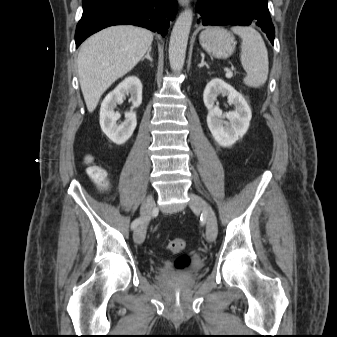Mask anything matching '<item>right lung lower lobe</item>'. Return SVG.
<instances>
[{
  "label": "right lung lower lobe",
  "instance_id": "right-lung-lower-lobe-1",
  "mask_svg": "<svg viewBox=\"0 0 337 337\" xmlns=\"http://www.w3.org/2000/svg\"><path fill=\"white\" fill-rule=\"evenodd\" d=\"M82 4L76 47L91 34L112 25L132 24L165 36L177 12V0H82Z\"/></svg>",
  "mask_w": 337,
  "mask_h": 337
}]
</instances>
